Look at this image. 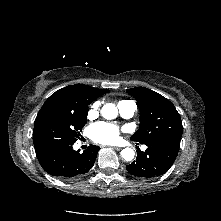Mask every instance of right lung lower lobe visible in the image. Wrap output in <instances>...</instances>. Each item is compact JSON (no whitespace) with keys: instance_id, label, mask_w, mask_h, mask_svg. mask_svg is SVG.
<instances>
[{"instance_id":"right-lung-lower-lobe-1","label":"right lung lower lobe","mask_w":221,"mask_h":221,"mask_svg":"<svg viewBox=\"0 0 221 221\" xmlns=\"http://www.w3.org/2000/svg\"><path fill=\"white\" fill-rule=\"evenodd\" d=\"M73 144L53 145L36 152L42 168L48 174L60 179H74L88 172L95 162L100 147L90 145L80 153L79 150H73Z\"/></svg>"}]
</instances>
